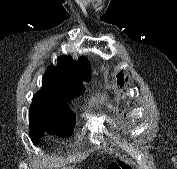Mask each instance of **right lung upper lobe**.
<instances>
[{
	"label": "right lung upper lobe",
	"mask_w": 177,
	"mask_h": 169,
	"mask_svg": "<svg viewBox=\"0 0 177 169\" xmlns=\"http://www.w3.org/2000/svg\"><path fill=\"white\" fill-rule=\"evenodd\" d=\"M88 63L84 56L78 62L67 56L60 57L57 66H51L45 72L42 89L34 94L31 106L70 101L90 79Z\"/></svg>",
	"instance_id": "obj_1"
}]
</instances>
